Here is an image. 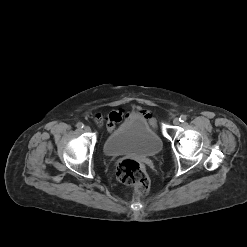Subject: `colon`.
<instances>
[{"mask_svg":"<svg viewBox=\"0 0 247 247\" xmlns=\"http://www.w3.org/2000/svg\"><path fill=\"white\" fill-rule=\"evenodd\" d=\"M118 179L135 188V190L145 195L149 191L150 181L144 166L134 159H124L117 165Z\"/></svg>","mask_w":247,"mask_h":247,"instance_id":"obj_1","label":"colon"}]
</instances>
